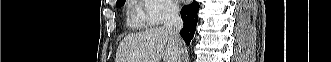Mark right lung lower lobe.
<instances>
[{
    "instance_id": "98d812e1",
    "label": "right lung lower lobe",
    "mask_w": 331,
    "mask_h": 62,
    "mask_svg": "<svg viewBox=\"0 0 331 62\" xmlns=\"http://www.w3.org/2000/svg\"><path fill=\"white\" fill-rule=\"evenodd\" d=\"M198 10L199 3L193 0V3L190 5H185L181 11V18L184 21V27L180 31V35L188 45L190 44L196 29V24L198 21Z\"/></svg>"
}]
</instances>
